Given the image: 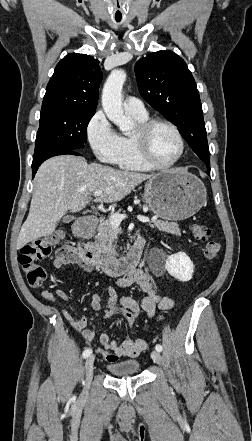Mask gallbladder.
I'll return each instance as SVG.
<instances>
[{"instance_id": "1", "label": "gallbladder", "mask_w": 252, "mask_h": 441, "mask_svg": "<svg viewBox=\"0 0 252 441\" xmlns=\"http://www.w3.org/2000/svg\"><path fill=\"white\" fill-rule=\"evenodd\" d=\"M72 220V217L71 216H65V217H63V219H62V221L64 222V223H68V222H70Z\"/></svg>"}]
</instances>
